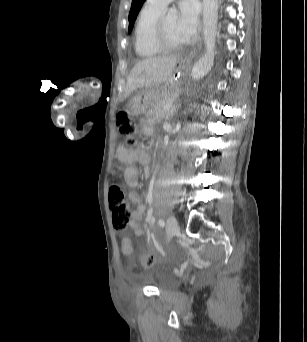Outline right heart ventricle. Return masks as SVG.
Masks as SVG:
<instances>
[{
  "label": "right heart ventricle",
  "instance_id": "e07e8e85",
  "mask_svg": "<svg viewBox=\"0 0 307 342\" xmlns=\"http://www.w3.org/2000/svg\"><path fill=\"white\" fill-rule=\"evenodd\" d=\"M159 16L160 13L150 10L148 7H144L138 12L133 31V47L139 59L149 60L160 55L152 43L153 25Z\"/></svg>",
  "mask_w": 307,
  "mask_h": 342
}]
</instances>
